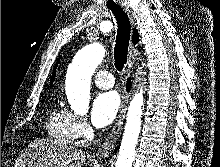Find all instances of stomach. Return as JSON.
Segmentation results:
<instances>
[{
	"label": "stomach",
	"instance_id": "0dacf381",
	"mask_svg": "<svg viewBox=\"0 0 220 167\" xmlns=\"http://www.w3.org/2000/svg\"><path fill=\"white\" fill-rule=\"evenodd\" d=\"M17 167H28L26 164H22L20 166H17Z\"/></svg>",
	"mask_w": 220,
	"mask_h": 167
}]
</instances>
